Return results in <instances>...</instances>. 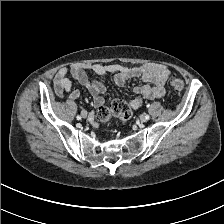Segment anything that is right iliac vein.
<instances>
[{
	"label": "right iliac vein",
	"instance_id": "63e3f726",
	"mask_svg": "<svg viewBox=\"0 0 224 224\" xmlns=\"http://www.w3.org/2000/svg\"><path fill=\"white\" fill-rule=\"evenodd\" d=\"M82 117L86 118L87 117V112L85 110L82 111Z\"/></svg>",
	"mask_w": 224,
	"mask_h": 224
}]
</instances>
